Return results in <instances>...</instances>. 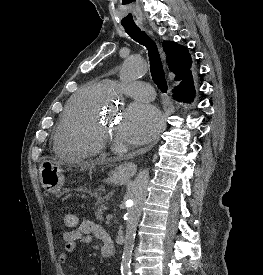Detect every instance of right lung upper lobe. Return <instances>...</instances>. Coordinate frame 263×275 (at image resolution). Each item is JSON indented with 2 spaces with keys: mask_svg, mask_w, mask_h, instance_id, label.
I'll use <instances>...</instances> for the list:
<instances>
[{
  "mask_svg": "<svg viewBox=\"0 0 263 275\" xmlns=\"http://www.w3.org/2000/svg\"><path fill=\"white\" fill-rule=\"evenodd\" d=\"M163 48L167 55L169 69L175 74V81L178 82V86L183 85L189 76L190 67L192 64L188 50L185 47L171 41H164ZM186 90L188 94L187 100L190 102L195 96L194 85H188Z\"/></svg>",
  "mask_w": 263,
  "mask_h": 275,
  "instance_id": "obj_1",
  "label": "right lung upper lobe"
}]
</instances>
